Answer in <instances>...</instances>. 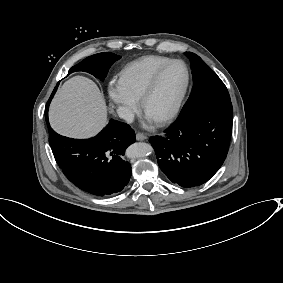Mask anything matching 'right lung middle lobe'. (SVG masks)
Masks as SVG:
<instances>
[{
    "mask_svg": "<svg viewBox=\"0 0 283 283\" xmlns=\"http://www.w3.org/2000/svg\"><path fill=\"white\" fill-rule=\"evenodd\" d=\"M120 58L121 57L119 55L109 52L95 54L87 57L79 64L73 66L69 70L68 74L75 71H85L94 75L100 80H103L106 77L111 65Z\"/></svg>",
    "mask_w": 283,
    "mask_h": 283,
    "instance_id": "dd1d6c3e",
    "label": "right lung middle lobe"
}]
</instances>
